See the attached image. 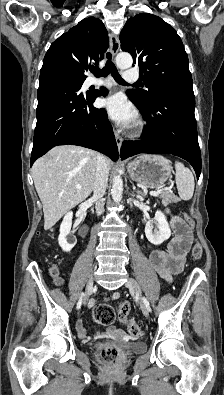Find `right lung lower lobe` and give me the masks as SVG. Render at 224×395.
<instances>
[{
	"instance_id": "obj_1",
	"label": "right lung lower lobe",
	"mask_w": 224,
	"mask_h": 395,
	"mask_svg": "<svg viewBox=\"0 0 224 395\" xmlns=\"http://www.w3.org/2000/svg\"><path fill=\"white\" fill-rule=\"evenodd\" d=\"M79 88L49 72L41 73L37 93V124L30 164L57 145L97 150L113 161L119 157L113 129L104 109L92 103L107 90L81 94Z\"/></svg>"
}]
</instances>
